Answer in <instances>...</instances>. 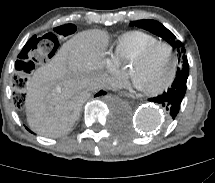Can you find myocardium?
<instances>
[{"instance_id":"myocardium-1","label":"myocardium","mask_w":215,"mask_h":183,"mask_svg":"<svg viewBox=\"0 0 215 183\" xmlns=\"http://www.w3.org/2000/svg\"><path fill=\"white\" fill-rule=\"evenodd\" d=\"M161 47H165L168 49V51L170 52L171 54V57H172V61H173V69H172V73H171V76L170 78L163 84L161 85L160 87H157L155 89H151V90H147V89H144L143 91L149 95H157V94H160L162 93L163 91H165L166 89H168L175 81L176 77H177V74H178V68H179V65H178V57H177V54L175 52V50L173 49V47L167 43V42H157L149 47H147L146 49H144L143 51H141L132 61V63H140V62H143L145 61L147 58L150 57V55L158 48H161ZM133 77V76H132ZM133 79H135L133 77Z\"/></svg>"}]
</instances>
